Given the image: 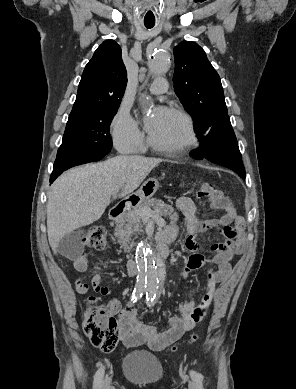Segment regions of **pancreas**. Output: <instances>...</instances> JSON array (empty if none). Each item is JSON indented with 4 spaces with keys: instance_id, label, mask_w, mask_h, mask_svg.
<instances>
[{
    "instance_id": "1",
    "label": "pancreas",
    "mask_w": 296,
    "mask_h": 389,
    "mask_svg": "<svg viewBox=\"0 0 296 389\" xmlns=\"http://www.w3.org/2000/svg\"><path fill=\"white\" fill-rule=\"evenodd\" d=\"M142 208L154 209V213L169 217L171 220H177L178 215L174 213V208L165 204L161 200L151 199L143 204L135 207L124 214V216L117 222L114 235L118 238V242L125 252H129L132 237L140 232L143 228V217L140 215Z\"/></svg>"
}]
</instances>
